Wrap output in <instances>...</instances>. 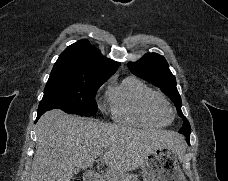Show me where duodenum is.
<instances>
[{
  "label": "duodenum",
  "mask_w": 228,
  "mask_h": 181,
  "mask_svg": "<svg viewBox=\"0 0 228 181\" xmlns=\"http://www.w3.org/2000/svg\"><path fill=\"white\" fill-rule=\"evenodd\" d=\"M83 178L85 181H98L99 175L96 172H85Z\"/></svg>",
  "instance_id": "obj_1"
}]
</instances>
